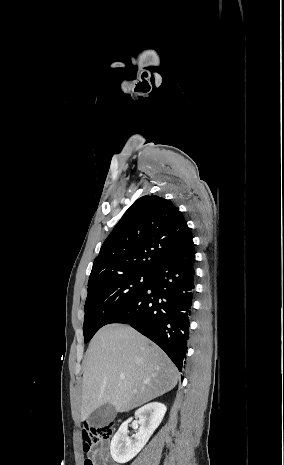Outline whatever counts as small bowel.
<instances>
[{
	"label": "small bowel",
	"instance_id": "c3829d8e",
	"mask_svg": "<svg viewBox=\"0 0 284 465\" xmlns=\"http://www.w3.org/2000/svg\"><path fill=\"white\" fill-rule=\"evenodd\" d=\"M95 459L98 462V465H108V447L102 443L95 453Z\"/></svg>",
	"mask_w": 284,
	"mask_h": 465
}]
</instances>
